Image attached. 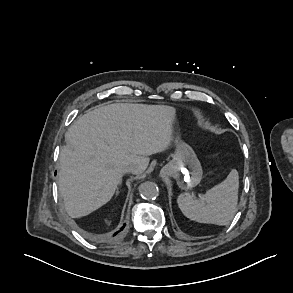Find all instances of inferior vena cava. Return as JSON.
<instances>
[{
    "label": "inferior vena cava",
    "mask_w": 293,
    "mask_h": 293,
    "mask_svg": "<svg viewBox=\"0 0 293 293\" xmlns=\"http://www.w3.org/2000/svg\"><path fill=\"white\" fill-rule=\"evenodd\" d=\"M126 171L129 172V173H133V172L136 171V169H135L134 167L130 166V167H128V168L126 169Z\"/></svg>",
    "instance_id": "1"
}]
</instances>
